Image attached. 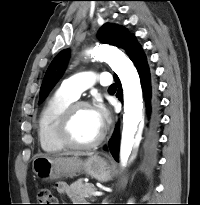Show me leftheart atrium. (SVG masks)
Masks as SVG:
<instances>
[{
  "instance_id": "left-heart-atrium-1",
  "label": "left heart atrium",
  "mask_w": 200,
  "mask_h": 205,
  "mask_svg": "<svg viewBox=\"0 0 200 205\" xmlns=\"http://www.w3.org/2000/svg\"><path fill=\"white\" fill-rule=\"evenodd\" d=\"M92 111H93L94 116L97 119L98 123L103 128L109 119V114H108L106 108L102 104H98L92 109Z\"/></svg>"
}]
</instances>
